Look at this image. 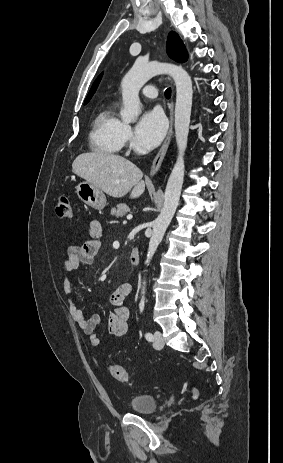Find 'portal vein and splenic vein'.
<instances>
[{
    "instance_id": "portal-vein-and-splenic-vein-1",
    "label": "portal vein and splenic vein",
    "mask_w": 283,
    "mask_h": 463,
    "mask_svg": "<svg viewBox=\"0 0 283 463\" xmlns=\"http://www.w3.org/2000/svg\"><path fill=\"white\" fill-rule=\"evenodd\" d=\"M132 217H133L132 214H129V215L127 216V219L130 220V219H132Z\"/></svg>"
}]
</instances>
